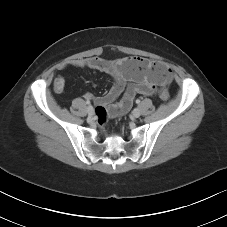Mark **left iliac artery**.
Returning <instances> with one entry per match:
<instances>
[{"label":"left iliac artery","mask_w":227,"mask_h":227,"mask_svg":"<svg viewBox=\"0 0 227 227\" xmlns=\"http://www.w3.org/2000/svg\"><path fill=\"white\" fill-rule=\"evenodd\" d=\"M136 103H137V104H139V103H140V100H139V99H137V100H136Z\"/></svg>","instance_id":"obj_1"}]
</instances>
